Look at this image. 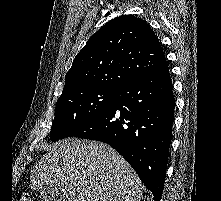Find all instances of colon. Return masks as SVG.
I'll list each match as a JSON object with an SVG mask.
<instances>
[{
  "label": "colon",
  "mask_w": 221,
  "mask_h": 201,
  "mask_svg": "<svg viewBox=\"0 0 221 201\" xmlns=\"http://www.w3.org/2000/svg\"><path fill=\"white\" fill-rule=\"evenodd\" d=\"M15 201H32V200L28 194H22L21 196L16 198Z\"/></svg>",
  "instance_id": "5ec220e1"
}]
</instances>
